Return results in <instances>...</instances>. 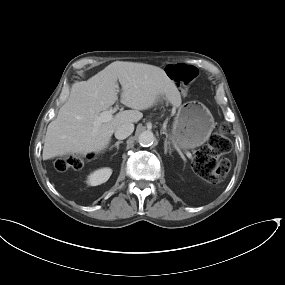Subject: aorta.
I'll return each instance as SVG.
<instances>
[{"mask_svg": "<svg viewBox=\"0 0 285 285\" xmlns=\"http://www.w3.org/2000/svg\"><path fill=\"white\" fill-rule=\"evenodd\" d=\"M155 136L151 131H144L138 137V142L143 147H149L155 142Z\"/></svg>", "mask_w": 285, "mask_h": 285, "instance_id": "obj_1", "label": "aorta"}]
</instances>
